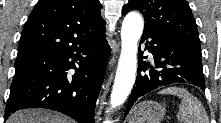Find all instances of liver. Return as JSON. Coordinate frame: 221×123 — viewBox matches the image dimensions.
<instances>
[{
  "mask_svg": "<svg viewBox=\"0 0 221 123\" xmlns=\"http://www.w3.org/2000/svg\"><path fill=\"white\" fill-rule=\"evenodd\" d=\"M6 123H71V120L56 112L27 109L13 113Z\"/></svg>",
  "mask_w": 221,
  "mask_h": 123,
  "instance_id": "6515ba94",
  "label": "liver"
}]
</instances>
